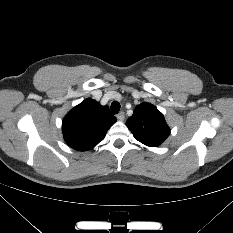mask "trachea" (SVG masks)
I'll use <instances>...</instances> for the list:
<instances>
[{"label": "trachea", "mask_w": 233, "mask_h": 233, "mask_svg": "<svg viewBox=\"0 0 233 233\" xmlns=\"http://www.w3.org/2000/svg\"><path fill=\"white\" fill-rule=\"evenodd\" d=\"M111 111L113 114H117L120 111V104L116 101L112 102Z\"/></svg>", "instance_id": "3493384b"}]
</instances>
